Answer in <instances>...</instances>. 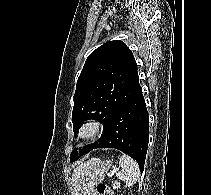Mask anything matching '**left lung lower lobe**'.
<instances>
[{
  "instance_id": "0a47b994",
  "label": "left lung lower lobe",
  "mask_w": 211,
  "mask_h": 195,
  "mask_svg": "<svg viewBox=\"0 0 211 195\" xmlns=\"http://www.w3.org/2000/svg\"><path fill=\"white\" fill-rule=\"evenodd\" d=\"M149 142V116L142 88L120 109L107 125L96 148H115L134 158L141 169Z\"/></svg>"
}]
</instances>
